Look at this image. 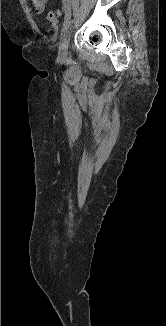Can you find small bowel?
<instances>
[{
  "mask_svg": "<svg viewBox=\"0 0 166 326\" xmlns=\"http://www.w3.org/2000/svg\"><path fill=\"white\" fill-rule=\"evenodd\" d=\"M48 0H30L33 11L37 14L44 12Z\"/></svg>",
  "mask_w": 166,
  "mask_h": 326,
  "instance_id": "small-bowel-1",
  "label": "small bowel"
}]
</instances>
